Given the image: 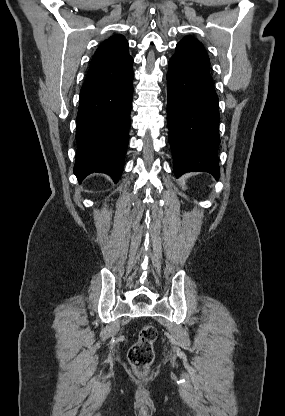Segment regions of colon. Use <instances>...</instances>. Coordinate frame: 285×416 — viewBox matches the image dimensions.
Here are the masks:
<instances>
[{
  "mask_svg": "<svg viewBox=\"0 0 285 416\" xmlns=\"http://www.w3.org/2000/svg\"><path fill=\"white\" fill-rule=\"evenodd\" d=\"M157 331L153 325H145L139 332L137 341L128 352V360L135 372L144 375L148 372L154 359V342Z\"/></svg>",
  "mask_w": 285,
  "mask_h": 416,
  "instance_id": "5ec220e1",
  "label": "colon"
}]
</instances>
